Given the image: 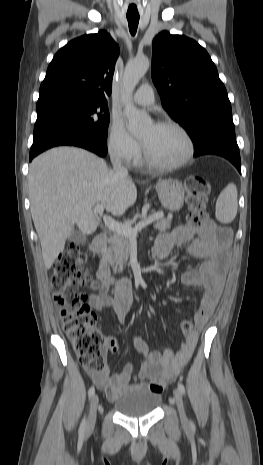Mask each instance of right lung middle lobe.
Wrapping results in <instances>:
<instances>
[{
  "mask_svg": "<svg viewBox=\"0 0 263 465\" xmlns=\"http://www.w3.org/2000/svg\"><path fill=\"white\" fill-rule=\"evenodd\" d=\"M105 102L76 97H55L37 102L34 138L55 131H75L105 145L109 113Z\"/></svg>",
  "mask_w": 263,
  "mask_h": 465,
  "instance_id": "right-lung-middle-lobe-1",
  "label": "right lung middle lobe"
}]
</instances>
